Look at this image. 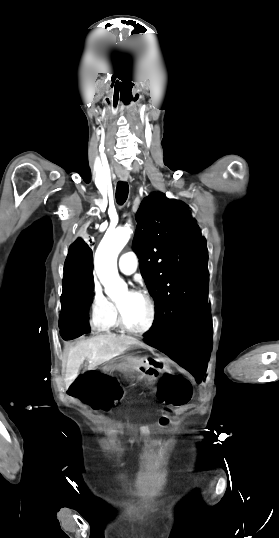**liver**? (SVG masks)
<instances>
[{
	"mask_svg": "<svg viewBox=\"0 0 279 538\" xmlns=\"http://www.w3.org/2000/svg\"><path fill=\"white\" fill-rule=\"evenodd\" d=\"M131 346H143V344L130 336L100 334V336H94L90 340L79 342L77 346H71L66 364L65 382L67 386L79 376L80 366L86 358H89L90 362L87 370H95L96 366L124 354Z\"/></svg>",
	"mask_w": 279,
	"mask_h": 538,
	"instance_id": "6515ba94",
	"label": "liver"
}]
</instances>
